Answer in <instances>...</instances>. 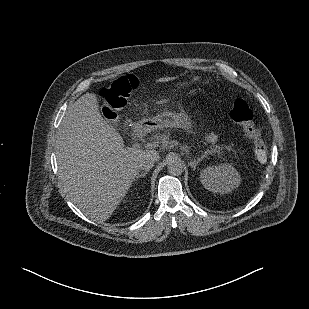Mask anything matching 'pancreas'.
<instances>
[{
	"mask_svg": "<svg viewBox=\"0 0 309 309\" xmlns=\"http://www.w3.org/2000/svg\"><path fill=\"white\" fill-rule=\"evenodd\" d=\"M156 137H158V140L161 141L162 139L166 138V135H156Z\"/></svg>",
	"mask_w": 309,
	"mask_h": 309,
	"instance_id": "obj_1",
	"label": "pancreas"
}]
</instances>
